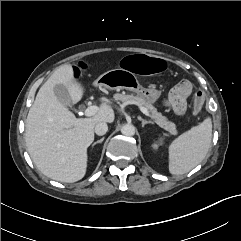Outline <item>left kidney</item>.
I'll use <instances>...</instances> for the list:
<instances>
[{"label": "left kidney", "mask_w": 241, "mask_h": 241, "mask_svg": "<svg viewBox=\"0 0 241 241\" xmlns=\"http://www.w3.org/2000/svg\"><path fill=\"white\" fill-rule=\"evenodd\" d=\"M161 143H162V140H160V142H159L158 144H154V145H153V148H154V149H158V146H159V144H161Z\"/></svg>", "instance_id": "5707ae66"}]
</instances>
